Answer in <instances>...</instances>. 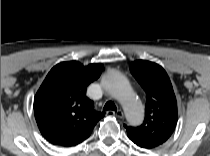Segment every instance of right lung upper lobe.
Segmentation results:
<instances>
[{
  "label": "right lung upper lobe",
  "mask_w": 210,
  "mask_h": 156,
  "mask_svg": "<svg viewBox=\"0 0 210 156\" xmlns=\"http://www.w3.org/2000/svg\"><path fill=\"white\" fill-rule=\"evenodd\" d=\"M103 67L83 70L76 61L54 66L34 99V113L42 135L52 144L74 146L89 137L102 117L86 96L87 86L96 80Z\"/></svg>",
  "instance_id": "right-lung-upper-lobe-1"
}]
</instances>
